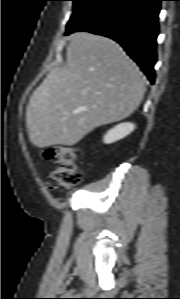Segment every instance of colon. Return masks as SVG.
Masks as SVG:
<instances>
[{"label":"colon","mask_w":180,"mask_h":299,"mask_svg":"<svg viewBox=\"0 0 180 299\" xmlns=\"http://www.w3.org/2000/svg\"><path fill=\"white\" fill-rule=\"evenodd\" d=\"M44 156L53 163L45 181L48 190L70 189L80 183L82 171L72 146L59 145L47 148Z\"/></svg>","instance_id":"obj_1"}]
</instances>
